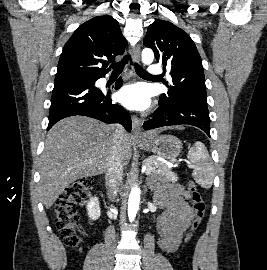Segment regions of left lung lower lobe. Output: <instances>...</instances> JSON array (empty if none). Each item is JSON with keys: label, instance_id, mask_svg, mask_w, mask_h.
<instances>
[{"label": "left lung lower lobe", "instance_id": "left-lung-lower-lobe-1", "mask_svg": "<svg viewBox=\"0 0 267 270\" xmlns=\"http://www.w3.org/2000/svg\"><path fill=\"white\" fill-rule=\"evenodd\" d=\"M154 115L153 119L143 124L144 130L187 124L202 129L210 137V118L207 105L195 102L164 105L159 102V107Z\"/></svg>", "mask_w": 267, "mask_h": 270}]
</instances>
